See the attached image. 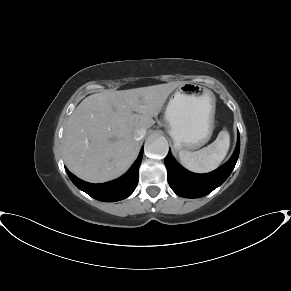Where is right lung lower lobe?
<instances>
[{"instance_id": "right-lung-lower-lobe-1", "label": "right lung lower lobe", "mask_w": 291, "mask_h": 291, "mask_svg": "<svg viewBox=\"0 0 291 291\" xmlns=\"http://www.w3.org/2000/svg\"><path fill=\"white\" fill-rule=\"evenodd\" d=\"M144 148H141L139 156L129 171L114 181L102 184L87 183L73 174L68 169L66 172L71 181L82 191L91 197L104 202H115L130 196L135 190L138 183V170L142 161Z\"/></svg>"}]
</instances>
